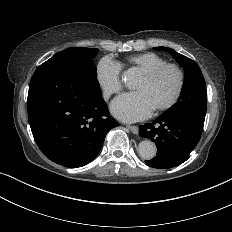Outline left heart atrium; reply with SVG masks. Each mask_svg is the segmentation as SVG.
Segmentation results:
<instances>
[{
    "label": "left heart atrium",
    "mask_w": 232,
    "mask_h": 232,
    "mask_svg": "<svg viewBox=\"0 0 232 232\" xmlns=\"http://www.w3.org/2000/svg\"><path fill=\"white\" fill-rule=\"evenodd\" d=\"M111 113L124 122H135L146 119L154 111V107L141 91L124 94L115 99L110 106Z\"/></svg>",
    "instance_id": "39dd6f15"
}]
</instances>
